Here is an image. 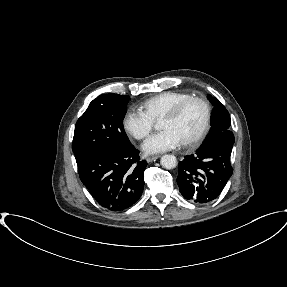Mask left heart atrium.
<instances>
[{
  "label": "left heart atrium",
  "mask_w": 287,
  "mask_h": 287,
  "mask_svg": "<svg viewBox=\"0 0 287 287\" xmlns=\"http://www.w3.org/2000/svg\"><path fill=\"white\" fill-rule=\"evenodd\" d=\"M182 143L180 136L173 129L167 128L150 136L143 143V150L146 153L163 152L174 149Z\"/></svg>",
  "instance_id": "obj_1"
}]
</instances>
